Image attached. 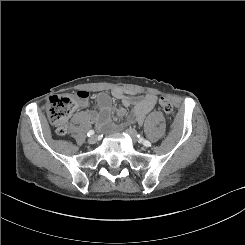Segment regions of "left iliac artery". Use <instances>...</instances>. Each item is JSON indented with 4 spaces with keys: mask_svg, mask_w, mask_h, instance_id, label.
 I'll list each match as a JSON object with an SVG mask.
<instances>
[{
    "mask_svg": "<svg viewBox=\"0 0 245 245\" xmlns=\"http://www.w3.org/2000/svg\"><path fill=\"white\" fill-rule=\"evenodd\" d=\"M138 138H139V142L140 143H143L146 147H150L151 146V143L147 140H144L142 137H140V135H137Z\"/></svg>",
    "mask_w": 245,
    "mask_h": 245,
    "instance_id": "44dca946",
    "label": "left iliac artery"
}]
</instances>
